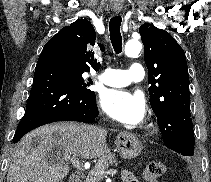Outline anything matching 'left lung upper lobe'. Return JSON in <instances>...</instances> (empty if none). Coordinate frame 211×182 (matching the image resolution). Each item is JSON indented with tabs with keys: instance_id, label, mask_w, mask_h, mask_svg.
Listing matches in <instances>:
<instances>
[{
	"instance_id": "5c2ea615",
	"label": "left lung upper lobe",
	"mask_w": 211,
	"mask_h": 182,
	"mask_svg": "<svg viewBox=\"0 0 211 182\" xmlns=\"http://www.w3.org/2000/svg\"><path fill=\"white\" fill-rule=\"evenodd\" d=\"M149 72L150 104L157 117L164 144L185 156L194 153L190 114L189 75L186 57L176 40L149 23L139 28Z\"/></svg>"
}]
</instances>
